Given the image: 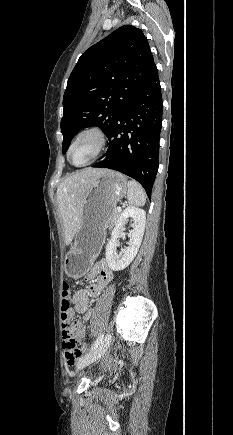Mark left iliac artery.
Instances as JSON below:
<instances>
[{"mask_svg": "<svg viewBox=\"0 0 233 435\" xmlns=\"http://www.w3.org/2000/svg\"><path fill=\"white\" fill-rule=\"evenodd\" d=\"M102 340H103V335H100L98 338H97V340L93 343V345H92V347H91V351L92 350H94V349H96L101 343H102Z\"/></svg>", "mask_w": 233, "mask_h": 435, "instance_id": "44dca946", "label": "left iliac artery"}]
</instances>
